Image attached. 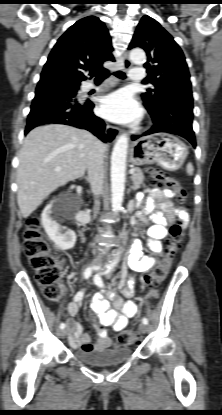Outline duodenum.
<instances>
[{"instance_id":"1","label":"duodenum","mask_w":222,"mask_h":415,"mask_svg":"<svg viewBox=\"0 0 222 415\" xmlns=\"http://www.w3.org/2000/svg\"><path fill=\"white\" fill-rule=\"evenodd\" d=\"M79 219L83 222H86L89 219L88 213L85 212V211H82L80 216H79Z\"/></svg>"}]
</instances>
